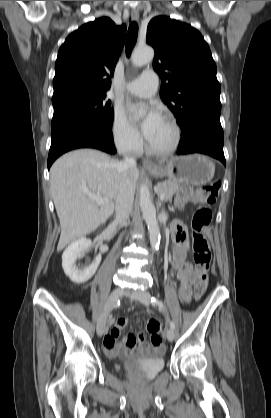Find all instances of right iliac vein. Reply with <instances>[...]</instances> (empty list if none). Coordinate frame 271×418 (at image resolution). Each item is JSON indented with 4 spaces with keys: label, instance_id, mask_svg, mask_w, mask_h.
I'll list each match as a JSON object with an SVG mask.
<instances>
[{
    "label": "right iliac vein",
    "instance_id": "63e3f726",
    "mask_svg": "<svg viewBox=\"0 0 271 418\" xmlns=\"http://www.w3.org/2000/svg\"><path fill=\"white\" fill-rule=\"evenodd\" d=\"M122 291L119 288L114 289L110 296L108 297V300L106 302V306L105 309L98 321L97 324V334L98 336H102L105 332L106 329V321H107V317L111 311V309L113 308V306H115V304L117 303L119 297L121 296Z\"/></svg>",
    "mask_w": 271,
    "mask_h": 418
}]
</instances>
